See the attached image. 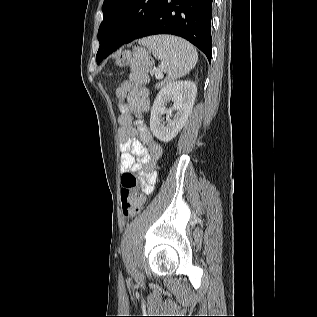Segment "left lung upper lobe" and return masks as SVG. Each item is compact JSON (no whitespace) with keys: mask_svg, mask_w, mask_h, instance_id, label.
Instances as JSON below:
<instances>
[{"mask_svg":"<svg viewBox=\"0 0 317 317\" xmlns=\"http://www.w3.org/2000/svg\"><path fill=\"white\" fill-rule=\"evenodd\" d=\"M162 0H104L103 21L98 30L100 47L96 60L103 58L104 42L119 46L133 41L156 12Z\"/></svg>","mask_w":317,"mask_h":317,"instance_id":"1","label":"left lung upper lobe"}]
</instances>
